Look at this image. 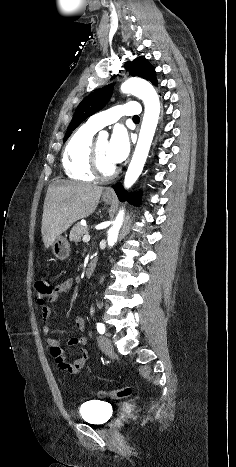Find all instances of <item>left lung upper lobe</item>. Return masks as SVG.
<instances>
[{"mask_svg": "<svg viewBox=\"0 0 236 467\" xmlns=\"http://www.w3.org/2000/svg\"><path fill=\"white\" fill-rule=\"evenodd\" d=\"M130 67L131 75H136L143 79L149 80L154 85L157 84L155 70L146 59L138 57L132 63L127 62L125 64V68L129 69ZM112 92L113 85L110 84L89 94L81 101L68 127L64 137V142L69 138L72 131L81 124V122H83L87 117L101 110L106 105L112 95Z\"/></svg>", "mask_w": 236, "mask_h": 467, "instance_id": "obj_1", "label": "left lung upper lobe"}]
</instances>
